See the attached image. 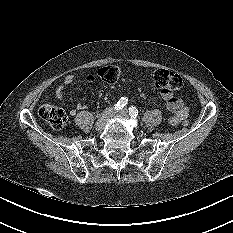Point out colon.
Wrapping results in <instances>:
<instances>
[{
    "instance_id": "5ec220e1",
    "label": "colon",
    "mask_w": 233,
    "mask_h": 233,
    "mask_svg": "<svg viewBox=\"0 0 233 233\" xmlns=\"http://www.w3.org/2000/svg\"><path fill=\"white\" fill-rule=\"evenodd\" d=\"M126 70L124 67L117 65H108L100 68L96 76L91 79L99 78L107 83L116 82L123 72ZM152 85L154 88L161 91H177L183 85V80L180 75L173 73L166 69H157L152 75ZM39 116L47 122L54 129H61L67 121L66 112L56 105L44 103L38 111ZM187 120L183 122L187 125Z\"/></svg>"
}]
</instances>
